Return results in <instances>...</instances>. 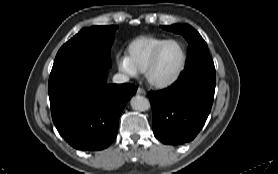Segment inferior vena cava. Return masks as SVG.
Segmentation results:
<instances>
[{"label": "inferior vena cava", "mask_w": 278, "mask_h": 174, "mask_svg": "<svg viewBox=\"0 0 278 174\" xmlns=\"http://www.w3.org/2000/svg\"><path fill=\"white\" fill-rule=\"evenodd\" d=\"M129 81V77L127 75L117 73L113 76V82L116 84H122Z\"/></svg>", "instance_id": "inferior-vena-cava-1"}]
</instances>
